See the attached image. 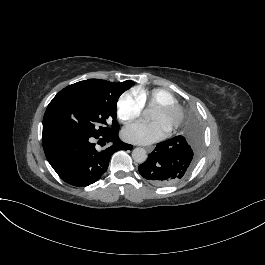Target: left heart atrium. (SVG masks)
Here are the masks:
<instances>
[{
    "label": "left heart atrium",
    "instance_id": "left-heart-atrium-1",
    "mask_svg": "<svg viewBox=\"0 0 265 265\" xmlns=\"http://www.w3.org/2000/svg\"><path fill=\"white\" fill-rule=\"evenodd\" d=\"M168 136V129L160 122L154 123H135L127 126L122 137L125 141L135 144H150L164 139Z\"/></svg>",
    "mask_w": 265,
    "mask_h": 265
}]
</instances>
